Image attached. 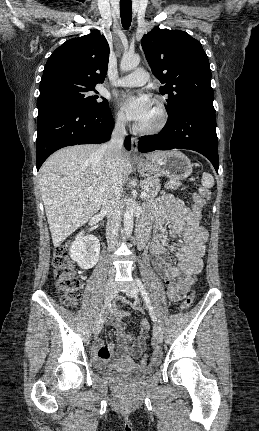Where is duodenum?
Returning a JSON list of instances; mask_svg holds the SVG:
<instances>
[{"label": "duodenum", "mask_w": 259, "mask_h": 431, "mask_svg": "<svg viewBox=\"0 0 259 431\" xmlns=\"http://www.w3.org/2000/svg\"><path fill=\"white\" fill-rule=\"evenodd\" d=\"M148 225L145 222H140L137 227L138 245L143 247L148 237Z\"/></svg>", "instance_id": "1"}]
</instances>
